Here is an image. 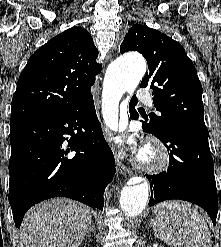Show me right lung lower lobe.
Returning <instances> with one entry per match:
<instances>
[{"mask_svg": "<svg viewBox=\"0 0 221 247\" xmlns=\"http://www.w3.org/2000/svg\"><path fill=\"white\" fill-rule=\"evenodd\" d=\"M10 133L9 203L16 227L33 205L57 196L103 210L115 160L93 97L62 115L11 123Z\"/></svg>", "mask_w": 221, "mask_h": 247, "instance_id": "right-lung-lower-lobe-1", "label": "right lung lower lobe"}]
</instances>
